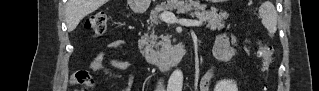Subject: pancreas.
I'll return each instance as SVG.
<instances>
[{
  "instance_id": "1",
  "label": "pancreas",
  "mask_w": 319,
  "mask_h": 91,
  "mask_svg": "<svg viewBox=\"0 0 319 91\" xmlns=\"http://www.w3.org/2000/svg\"><path fill=\"white\" fill-rule=\"evenodd\" d=\"M170 3L156 7L150 14V35H145L146 48L144 49V55L149 56L155 63H159L162 57L165 55L167 49L170 47L169 36H161V40L157 41L158 37L155 35L154 27L161 23V12H170L177 10V13H191V16H195L198 21L206 22L207 27L211 30H221L225 27V20L228 18L226 12L217 13V9L212 8L206 10V5H200L198 2H193L190 5H182L176 3L177 1H169Z\"/></svg>"
}]
</instances>
